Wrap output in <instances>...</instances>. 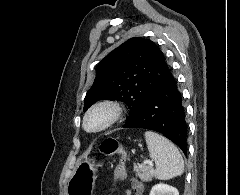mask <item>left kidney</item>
<instances>
[{"label":"left kidney","instance_id":"5707ae66","mask_svg":"<svg viewBox=\"0 0 240 195\" xmlns=\"http://www.w3.org/2000/svg\"><path fill=\"white\" fill-rule=\"evenodd\" d=\"M149 195H179V191L173 185L156 183V185H153Z\"/></svg>","mask_w":240,"mask_h":195}]
</instances>
